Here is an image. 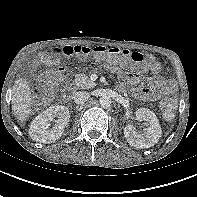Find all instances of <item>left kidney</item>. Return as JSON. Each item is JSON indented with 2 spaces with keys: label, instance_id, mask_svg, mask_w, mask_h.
I'll return each mask as SVG.
<instances>
[{
  "label": "left kidney",
  "instance_id": "5707ae66",
  "mask_svg": "<svg viewBox=\"0 0 197 197\" xmlns=\"http://www.w3.org/2000/svg\"><path fill=\"white\" fill-rule=\"evenodd\" d=\"M136 119L145 121L143 132H137L132 125H126L124 136L127 142L136 148H150L154 146L162 135L161 126L155 113L147 108L136 111Z\"/></svg>",
  "mask_w": 197,
  "mask_h": 197
}]
</instances>
